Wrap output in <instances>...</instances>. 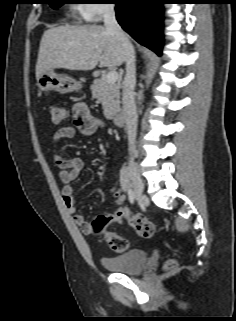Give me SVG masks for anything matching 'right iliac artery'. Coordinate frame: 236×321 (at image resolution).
I'll return each instance as SVG.
<instances>
[{"mask_svg":"<svg viewBox=\"0 0 236 321\" xmlns=\"http://www.w3.org/2000/svg\"><path fill=\"white\" fill-rule=\"evenodd\" d=\"M128 197H129V201H130L131 203H134L135 196H134V192H133L132 189H131V186H130V190H129V192H128Z\"/></svg>","mask_w":236,"mask_h":321,"instance_id":"1","label":"right iliac artery"}]
</instances>
